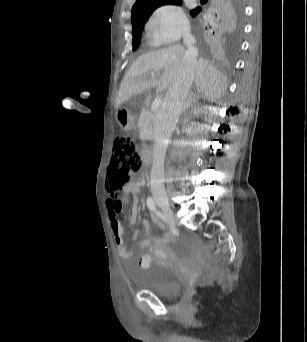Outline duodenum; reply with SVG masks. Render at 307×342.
Masks as SVG:
<instances>
[{
    "instance_id": "1",
    "label": "duodenum",
    "mask_w": 307,
    "mask_h": 342,
    "mask_svg": "<svg viewBox=\"0 0 307 342\" xmlns=\"http://www.w3.org/2000/svg\"><path fill=\"white\" fill-rule=\"evenodd\" d=\"M141 156L144 162V165L149 166L151 159H152V153L148 148H141Z\"/></svg>"
}]
</instances>
